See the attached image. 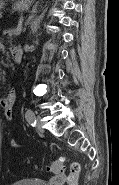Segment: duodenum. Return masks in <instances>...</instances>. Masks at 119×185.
Masks as SVG:
<instances>
[{"label": "duodenum", "instance_id": "410a0bca", "mask_svg": "<svg viewBox=\"0 0 119 185\" xmlns=\"http://www.w3.org/2000/svg\"><path fill=\"white\" fill-rule=\"evenodd\" d=\"M23 52L20 48H13L12 49V57L15 63H20L22 61Z\"/></svg>", "mask_w": 119, "mask_h": 185}]
</instances>
